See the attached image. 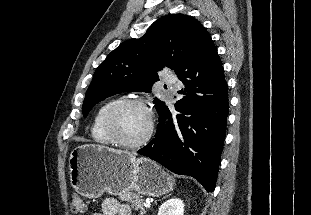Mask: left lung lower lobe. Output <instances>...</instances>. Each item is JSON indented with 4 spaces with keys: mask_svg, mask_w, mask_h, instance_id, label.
<instances>
[{
    "mask_svg": "<svg viewBox=\"0 0 311 215\" xmlns=\"http://www.w3.org/2000/svg\"><path fill=\"white\" fill-rule=\"evenodd\" d=\"M185 96L177 113L159 109L155 138L138 151L180 175L197 179L208 192L215 189L228 116V87L222 62L210 37L202 38L175 70Z\"/></svg>",
    "mask_w": 311,
    "mask_h": 215,
    "instance_id": "0a47b994",
    "label": "left lung lower lobe"
}]
</instances>
